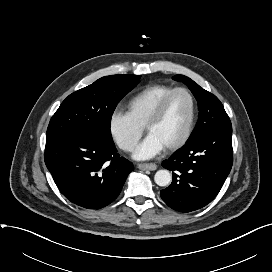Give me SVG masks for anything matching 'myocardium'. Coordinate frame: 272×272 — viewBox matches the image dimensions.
Listing matches in <instances>:
<instances>
[{
  "instance_id": "myocardium-1",
  "label": "myocardium",
  "mask_w": 272,
  "mask_h": 272,
  "mask_svg": "<svg viewBox=\"0 0 272 272\" xmlns=\"http://www.w3.org/2000/svg\"><path fill=\"white\" fill-rule=\"evenodd\" d=\"M178 93H184L190 99L191 114H190V119H189L187 128L185 130V133L177 142L166 147V150L168 152H173V151H176V150L180 149L181 147H183L188 142V140L190 139V137L194 131V128L196 125V120H197L198 107H197V102H196V99H195L193 93L189 89L184 88V87H177V88L173 89L171 92H169L166 96H164L162 98V100L158 103V105L156 106V108L154 109V111L152 112V114L150 115L149 119L147 120V122L145 124L146 131H149L150 127H152L154 124H156L161 119L169 102Z\"/></svg>"
}]
</instances>
